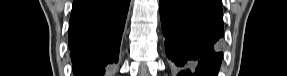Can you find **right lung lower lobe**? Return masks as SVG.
<instances>
[{
	"label": "right lung lower lobe",
	"mask_w": 287,
	"mask_h": 76,
	"mask_svg": "<svg viewBox=\"0 0 287 76\" xmlns=\"http://www.w3.org/2000/svg\"><path fill=\"white\" fill-rule=\"evenodd\" d=\"M129 0H74L69 49L76 76H109L118 62Z\"/></svg>",
	"instance_id": "98d812e1"
}]
</instances>
